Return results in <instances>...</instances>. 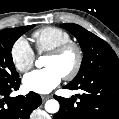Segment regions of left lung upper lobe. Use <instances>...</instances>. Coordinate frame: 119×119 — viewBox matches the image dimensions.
Returning <instances> with one entry per match:
<instances>
[{
  "mask_svg": "<svg viewBox=\"0 0 119 119\" xmlns=\"http://www.w3.org/2000/svg\"><path fill=\"white\" fill-rule=\"evenodd\" d=\"M61 26L77 38L84 52L80 70L71 83L84 82L107 72H119V59L107 42L77 24Z\"/></svg>",
  "mask_w": 119,
  "mask_h": 119,
  "instance_id": "1",
  "label": "left lung upper lobe"
}]
</instances>
